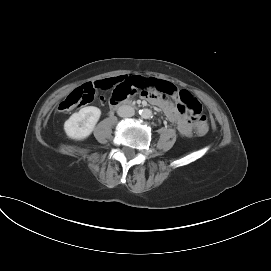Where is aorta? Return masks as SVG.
<instances>
[{"label":"aorta","instance_id":"762f6f07","mask_svg":"<svg viewBox=\"0 0 271 271\" xmlns=\"http://www.w3.org/2000/svg\"><path fill=\"white\" fill-rule=\"evenodd\" d=\"M140 115L142 118L148 119L152 117V111L150 109H143V110H140Z\"/></svg>","mask_w":271,"mask_h":271}]
</instances>
